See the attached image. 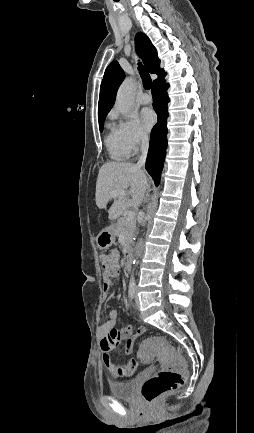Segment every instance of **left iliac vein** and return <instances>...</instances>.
Masks as SVG:
<instances>
[{
	"instance_id": "4c4485c4",
	"label": "left iliac vein",
	"mask_w": 254,
	"mask_h": 433,
	"mask_svg": "<svg viewBox=\"0 0 254 433\" xmlns=\"http://www.w3.org/2000/svg\"><path fill=\"white\" fill-rule=\"evenodd\" d=\"M135 302H136V306L138 307V297H137V291L135 290Z\"/></svg>"
}]
</instances>
